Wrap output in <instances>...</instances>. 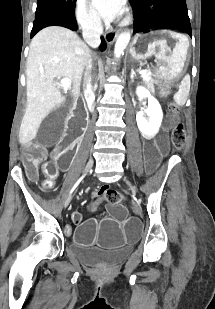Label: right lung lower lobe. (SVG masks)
I'll use <instances>...</instances> for the list:
<instances>
[{
  "instance_id": "right-lung-lower-lobe-1",
  "label": "right lung lower lobe",
  "mask_w": 215,
  "mask_h": 309,
  "mask_svg": "<svg viewBox=\"0 0 215 309\" xmlns=\"http://www.w3.org/2000/svg\"><path fill=\"white\" fill-rule=\"evenodd\" d=\"M52 25H59V26H64V27H66V25H68L67 23H65L64 21H60V20H58V21H52V22H50ZM68 28V27H67ZM70 29V28H69ZM75 29H77V24H76V22H75ZM74 29V30H75ZM106 48V42H105V40L102 38V42H101V45H100V49L101 50H104Z\"/></svg>"
}]
</instances>
